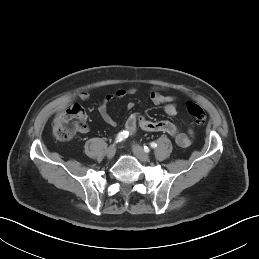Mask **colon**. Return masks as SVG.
Listing matches in <instances>:
<instances>
[{
  "label": "colon",
  "instance_id": "obj_1",
  "mask_svg": "<svg viewBox=\"0 0 259 259\" xmlns=\"http://www.w3.org/2000/svg\"><path fill=\"white\" fill-rule=\"evenodd\" d=\"M186 110L196 123H204L206 114L200 105L191 101L187 102ZM85 121V111L80 105H68L54 120L55 136L60 141H68L76 131L85 126Z\"/></svg>",
  "mask_w": 259,
  "mask_h": 259
}]
</instances>
